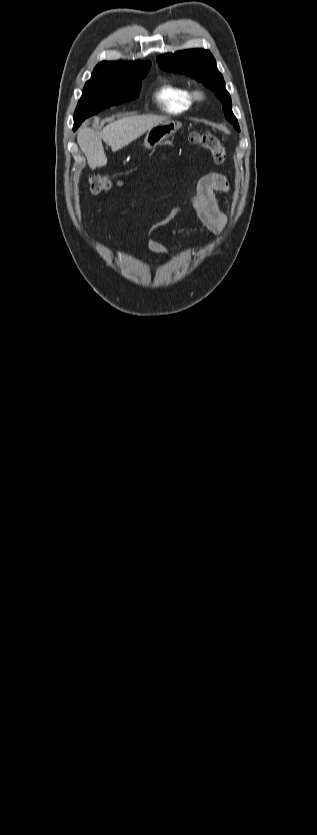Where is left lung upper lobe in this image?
I'll return each instance as SVG.
<instances>
[{
  "label": "left lung upper lobe",
  "mask_w": 317,
  "mask_h": 835,
  "mask_svg": "<svg viewBox=\"0 0 317 835\" xmlns=\"http://www.w3.org/2000/svg\"><path fill=\"white\" fill-rule=\"evenodd\" d=\"M162 69L191 76L210 88L223 103L227 120L240 131L236 117L231 109V97L225 89L224 79L218 71L215 59L205 49H190L165 54L157 58Z\"/></svg>",
  "instance_id": "5c2ea615"
}]
</instances>
